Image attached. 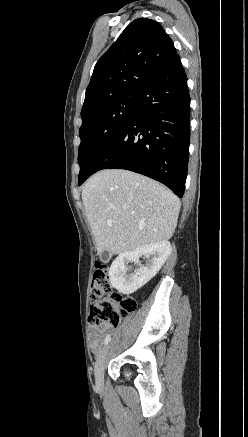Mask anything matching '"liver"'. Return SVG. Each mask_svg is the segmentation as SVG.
I'll list each match as a JSON object with an SVG mask.
<instances>
[{
    "mask_svg": "<svg viewBox=\"0 0 248 437\" xmlns=\"http://www.w3.org/2000/svg\"><path fill=\"white\" fill-rule=\"evenodd\" d=\"M82 201L99 254L169 240L181 205L163 185L126 170L93 175L83 186Z\"/></svg>",
    "mask_w": 248,
    "mask_h": 437,
    "instance_id": "6515ba94",
    "label": "liver"
}]
</instances>
